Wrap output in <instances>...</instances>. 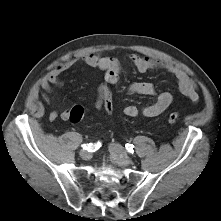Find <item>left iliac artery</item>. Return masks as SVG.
Here are the masks:
<instances>
[{
  "mask_svg": "<svg viewBox=\"0 0 221 221\" xmlns=\"http://www.w3.org/2000/svg\"><path fill=\"white\" fill-rule=\"evenodd\" d=\"M125 147H126V149H127L130 153H133V152H134V145H132V144H126Z\"/></svg>",
  "mask_w": 221,
  "mask_h": 221,
  "instance_id": "obj_1",
  "label": "left iliac artery"
}]
</instances>
